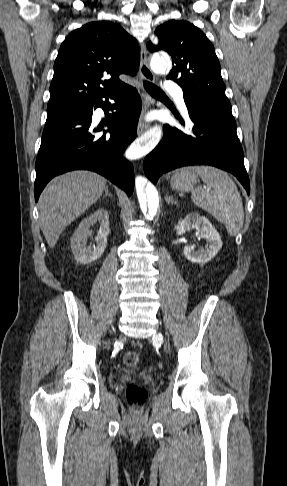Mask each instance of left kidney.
Returning <instances> with one entry per match:
<instances>
[{
  "label": "left kidney",
  "instance_id": "obj_1",
  "mask_svg": "<svg viewBox=\"0 0 287 486\" xmlns=\"http://www.w3.org/2000/svg\"><path fill=\"white\" fill-rule=\"evenodd\" d=\"M191 227L200 231L201 237L206 239L209 244L205 246V249L202 248L199 251H196L191 245H186L183 250L184 256L193 263H206L215 257L222 248L220 235L206 217L194 212L179 220L176 233L181 236Z\"/></svg>",
  "mask_w": 287,
  "mask_h": 486
}]
</instances>
